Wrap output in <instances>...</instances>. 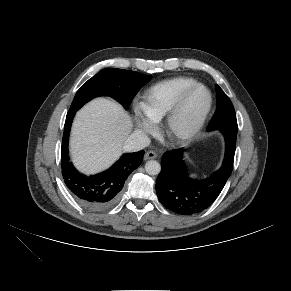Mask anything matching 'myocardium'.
<instances>
[{"label":"myocardium","mask_w":291,"mask_h":291,"mask_svg":"<svg viewBox=\"0 0 291 291\" xmlns=\"http://www.w3.org/2000/svg\"><path fill=\"white\" fill-rule=\"evenodd\" d=\"M199 89L205 90L207 95H208V102H207L205 109L203 110V112L200 115V117L198 118V120L195 122V124L190 129L183 131V132L177 131L175 129V121H176L179 113L181 112L183 106L185 105L186 101L191 96V94ZM212 105H213V96H212L210 89L206 85L201 84V83H197V84L189 87L188 89H186L180 95V97L177 99L175 104L172 106L170 111L165 116L163 128H164V133L167 136V138L170 141L177 143V144H183V143H186V142L190 141L191 139H193L200 132V130L203 128V126H204V124H205V122H206V120L211 112Z\"/></svg>","instance_id":"f54148a6"}]
</instances>
